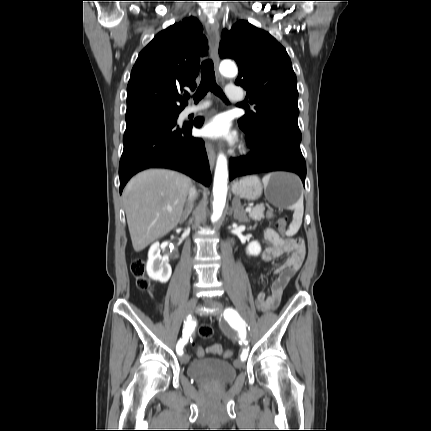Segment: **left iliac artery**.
<instances>
[{
  "label": "left iliac artery",
  "instance_id": "44dca946",
  "mask_svg": "<svg viewBox=\"0 0 431 431\" xmlns=\"http://www.w3.org/2000/svg\"><path fill=\"white\" fill-rule=\"evenodd\" d=\"M224 317L227 321L231 323V325H234L239 330L241 334V338L244 339L246 335V331H245L246 323L245 321L242 320V318L239 316L237 311L232 308H228L224 312ZM247 356H248V350L244 349L241 354V360L245 361L247 359Z\"/></svg>",
  "mask_w": 431,
  "mask_h": 431
}]
</instances>
